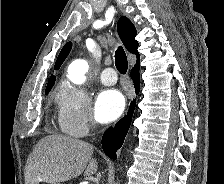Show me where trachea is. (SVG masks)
Listing matches in <instances>:
<instances>
[{
    "instance_id": "3493384b",
    "label": "trachea",
    "mask_w": 224,
    "mask_h": 184,
    "mask_svg": "<svg viewBox=\"0 0 224 184\" xmlns=\"http://www.w3.org/2000/svg\"><path fill=\"white\" fill-rule=\"evenodd\" d=\"M115 65L119 73L126 74L128 61L126 53L122 47H119L115 52Z\"/></svg>"
}]
</instances>
